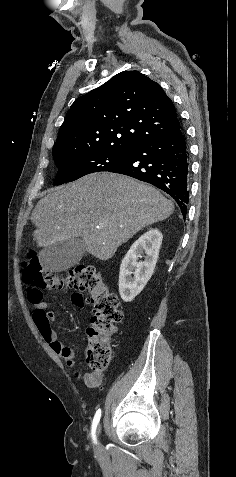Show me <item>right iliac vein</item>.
<instances>
[{"instance_id":"right-iliac-vein-1","label":"right iliac vein","mask_w":236,"mask_h":477,"mask_svg":"<svg viewBox=\"0 0 236 477\" xmlns=\"http://www.w3.org/2000/svg\"><path fill=\"white\" fill-rule=\"evenodd\" d=\"M100 429H101V427H100V425H99V426H98V429H97V430H98V433L100 432ZM96 450L99 451V450H100V447L97 446V447H96Z\"/></svg>"}]
</instances>
